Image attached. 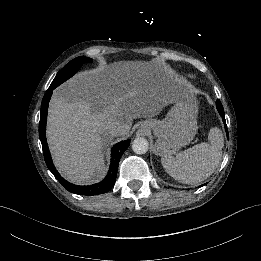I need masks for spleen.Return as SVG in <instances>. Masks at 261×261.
<instances>
[{"mask_svg": "<svg viewBox=\"0 0 261 261\" xmlns=\"http://www.w3.org/2000/svg\"><path fill=\"white\" fill-rule=\"evenodd\" d=\"M209 143H200L180 152L176 157H162L165 171L175 180L189 185H197L210 177L222 158L224 137L222 131L211 128Z\"/></svg>", "mask_w": 261, "mask_h": 261, "instance_id": "1", "label": "spleen"}]
</instances>
